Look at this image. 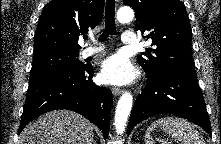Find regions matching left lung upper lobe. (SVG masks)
<instances>
[{
  "label": "left lung upper lobe",
  "instance_id": "left-lung-upper-lobe-1",
  "mask_svg": "<svg viewBox=\"0 0 221 144\" xmlns=\"http://www.w3.org/2000/svg\"><path fill=\"white\" fill-rule=\"evenodd\" d=\"M123 3L134 9L136 29L156 46L137 58L142 68L196 76L191 55L192 30L184 3L180 0H123Z\"/></svg>",
  "mask_w": 221,
  "mask_h": 144
}]
</instances>
